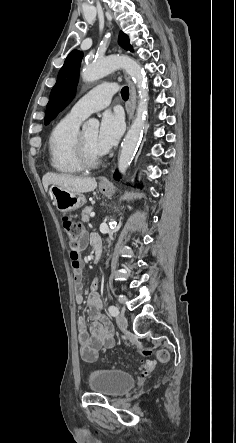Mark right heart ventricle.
I'll return each mask as SVG.
<instances>
[{
  "instance_id": "1",
  "label": "right heart ventricle",
  "mask_w": 236,
  "mask_h": 443,
  "mask_svg": "<svg viewBox=\"0 0 236 443\" xmlns=\"http://www.w3.org/2000/svg\"><path fill=\"white\" fill-rule=\"evenodd\" d=\"M81 121V118L67 114L51 130L48 139L49 162L60 173L76 174L82 170L74 150Z\"/></svg>"
}]
</instances>
